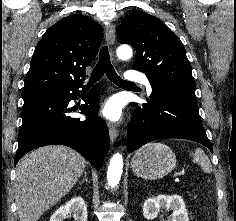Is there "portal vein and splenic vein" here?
Listing matches in <instances>:
<instances>
[{
	"mask_svg": "<svg viewBox=\"0 0 236 221\" xmlns=\"http://www.w3.org/2000/svg\"><path fill=\"white\" fill-rule=\"evenodd\" d=\"M183 174H184V171H180V172L175 174V177L178 178L180 175H183Z\"/></svg>",
	"mask_w": 236,
	"mask_h": 221,
	"instance_id": "1",
	"label": "portal vein and splenic vein"
}]
</instances>
